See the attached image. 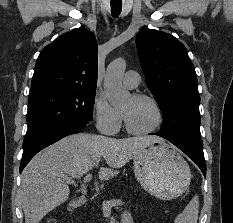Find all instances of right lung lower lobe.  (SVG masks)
Instances as JSON below:
<instances>
[{
  "label": "right lung lower lobe",
  "mask_w": 233,
  "mask_h": 223,
  "mask_svg": "<svg viewBox=\"0 0 233 223\" xmlns=\"http://www.w3.org/2000/svg\"><path fill=\"white\" fill-rule=\"evenodd\" d=\"M90 120L87 119H75L64 122L60 126L48 131L44 135L40 136L28 146L24 147L22 161L20 165V173L27 165V163L43 148L57 142L65 136L75 134L83 130Z\"/></svg>",
  "instance_id": "right-lung-lower-lobe-1"
}]
</instances>
